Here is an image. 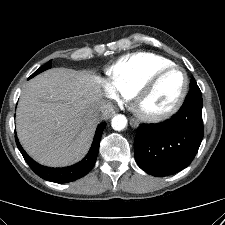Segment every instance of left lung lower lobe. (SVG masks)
<instances>
[{
    "mask_svg": "<svg viewBox=\"0 0 225 225\" xmlns=\"http://www.w3.org/2000/svg\"><path fill=\"white\" fill-rule=\"evenodd\" d=\"M201 93L189 92L180 110L159 124H143L134 141L138 166L153 176H168L194 159L204 135Z\"/></svg>",
    "mask_w": 225,
    "mask_h": 225,
    "instance_id": "1",
    "label": "left lung lower lobe"
}]
</instances>
